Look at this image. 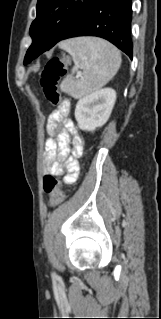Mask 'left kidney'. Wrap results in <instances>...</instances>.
<instances>
[{
    "label": "left kidney",
    "instance_id": "obj_1",
    "mask_svg": "<svg viewBox=\"0 0 161 319\" xmlns=\"http://www.w3.org/2000/svg\"><path fill=\"white\" fill-rule=\"evenodd\" d=\"M116 92L112 88L97 90L80 99L75 108L78 127L86 131H94L103 126L113 109Z\"/></svg>",
    "mask_w": 161,
    "mask_h": 319
}]
</instances>
